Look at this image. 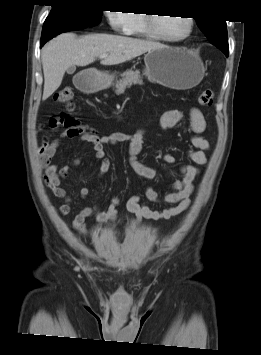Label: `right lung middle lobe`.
Masks as SVG:
<instances>
[{"instance_id":"dd1d6c3e","label":"right lung middle lobe","mask_w":261,"mask_h":355,"mask_svg":"<svg viewBox=\"0 0 261 355\" xmlns=\"http://www.w3.org/2000/svg\"><path fill=\"white\" fill-rule=\"evenodd\" d=\"M70 19L88 27L98 25L102 19V10L90 0H64L52 5V10L45 22Z\"/></svg>"}]
</instances>
